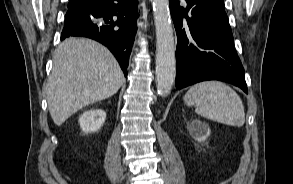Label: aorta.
I'll return each mask as SVG.
<instances>
[{"label": "aorta", "mask_w": 293, "mask_h": 184, "mask_svg": "<svg viewBox=\"0 0 293 184\" xmlns=\"http://www.w3.org/2000/svg\"><path fill=\"white\" fill-rule=\"evenodd\" d=\"M156 27V86L160 96L171 92L175 81L176 60L169 0H151Z\"/></svg>", "instance_id": "obj_1"}]
</instances>
